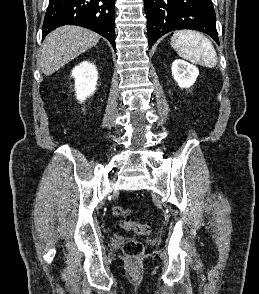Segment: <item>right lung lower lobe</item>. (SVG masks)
Masks as SVG:
<instances>
[{"label":"right lung lower lobe","instance_id":"1","mask_svg":"<svg viewBox=\"0 0 259 294\" xmlns=\"http://www.w3.org/2000/svg\"><path fill=\"white\" fill-rule=\"evenodd\" d=\"M114 0H49L42 35L62 25H78L102 35L116 50Z\"/></svg>","mask_w":259,"mask_h":294}]
</instances>
